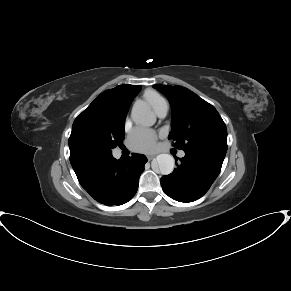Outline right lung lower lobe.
Segmentation results:
<instances>
[{"label":"right lung lower lobe","mask_w":291,"mask_h":291,"mask_svg":"<svg viewBox=\"0 0 291 291\" xmlns=\"http://www.w3.org/2000/svg\"><path fill=\"white\" fill-rule=\"evenodd\" d=\"M70 162L81 186L99 203L121 205L133 198L147 158L133 153L115 159L112 153H70Z\"/></svg>","instance_id":"98d812e1"}]
</instances>
